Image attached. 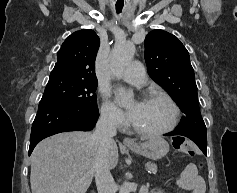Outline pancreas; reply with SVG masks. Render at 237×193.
<instances>
[{"mask_svg":"<svg viewBox=\"0 0 237 193\" xmlns=\"http://www.w3.org/2000/svg\"><path fill=\"white\" fill-rule=\"evenodd\" d=\"M146 168L151 172H156L157 171V165L153 162H147L146 163Z\"/></svg>","mask_w":237,"mask_h":193,"instance_id":"cf45deb5","label":"pancreas"}]
</instances>
